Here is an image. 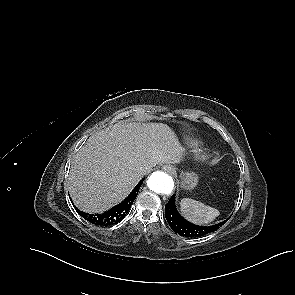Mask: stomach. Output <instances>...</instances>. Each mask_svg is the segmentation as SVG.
<instances>
[{"mask_svg": "<svg viewBox=\"0 0 295 295\" xmlns=\"http://www.w3.org/2000/svg\"><path fill=\"white\" fill-rule=\"evenodd\" d=\"M181 187L186 190H191L198 184V175L194 172H182L180 175Z\"/></svg>", "mask_w": 295, "mask_h": 295, "instance_id": "obj_1", "label": "stomach"}]
</instances>
